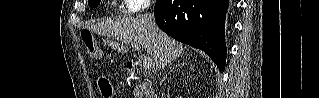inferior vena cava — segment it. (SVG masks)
Returning a JSON list of instances; mask_svg holds the SVG:
<instances>
[{
    "label": "inferior vena cava",
    "mask_w": 319,
    "mask_h": 98,
    "mask_svg": "<svg viewBox=\"0 0 319 98\" xmlns=\"http://www.w3.org/2000/svg\"><path fill=\"white\" fill-rule=\"evenodd\" d=\"M149 6H150V4H147V5L145 6V8H148ZM143 19H144V21L146 22L148 28H149L150 30H153V27H155V22H154V16H153V14H151V13H146V14H144V16H143Z\"/></svg>",
    "instance_id": "obj_1"
}]
</instances>
